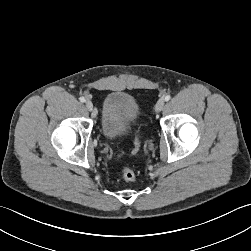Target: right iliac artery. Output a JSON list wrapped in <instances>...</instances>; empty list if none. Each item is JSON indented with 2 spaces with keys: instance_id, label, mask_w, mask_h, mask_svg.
<instances>
[{
  "instance_id": "obj_1",
  "label": "right iliac artery",
  "mask_w": 251,
  "mask_h": 251,
  "mask_svg": "<svg viewBox=\"0 0 251 251\" xmlns=\"http://www.w3.org/2000/svg\"><path fill=\"white\" fill-rule=\"evenodd\" d=\"M79 100H80V102H82V103L85 102V98H84V97H80Z\"/></svg>"
}]
</instances>
